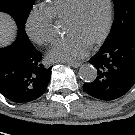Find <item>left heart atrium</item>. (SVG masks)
Instances as JSON below:
<instances>
[{"instance_id":"obj_1","label":"left heart atrium","mask_w":135,"mask_h":135,"mask_svg":"<svg viewBox=\"0 0 135 135\" xmlns=\"http://www.w3.org/2000/svg\"><path fill=\"white\" fill-rule=\"evenodd\" d=\"M89 45L76 35H68L54 44L48 53L52 61H75L84 57Z\"/></svg>"}]
</instances>
